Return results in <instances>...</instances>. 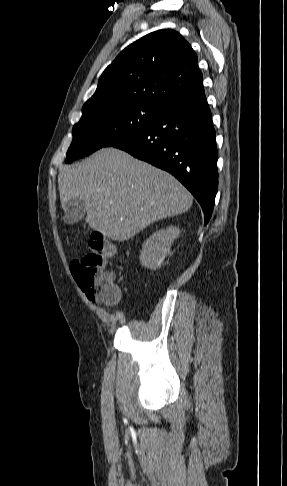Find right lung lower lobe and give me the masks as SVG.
<instances>
[{
  "instance_id": "1",
  "label": "right lung lower lobe",
  "mask_w": 287,
  "mask_h": 486,
  "mask_svg": "<svg viewBox=\"0 0 287 486\" xmlns=\"http://www.w3.org/2000/svg\"><path fill=\"white\" fill-rule=\"evenodd\" d=\"M215 136L203 90L171 105L140 134L113 147L174 175L198 200L207 224L218 189Z\"/></svg>"
}]
</instances>
